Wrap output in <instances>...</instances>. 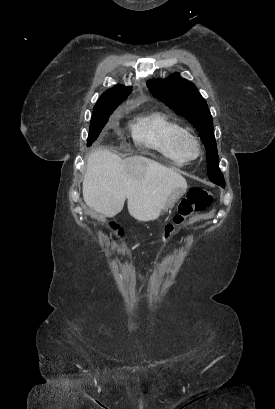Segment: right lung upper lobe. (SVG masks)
<instances>
[{
  "label": "right lung upper lobe",
  "instance_id": "obj_1",
  "mask_svg": "<svg viewBox=\"0 0 275 409\" xmlns=\"http://www.w3.org/2000/svg\"><path fill=\"white\" fill-rule=\"evenodd\" d=\"M131 93L130 87L116 85L104 92L94 106L93 112L115 109Z\"/></svg>",
  "mask_w": 275,
  "mask_h": 409
}]
</instances>
